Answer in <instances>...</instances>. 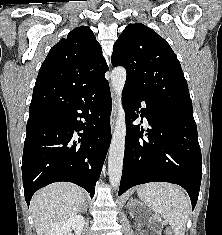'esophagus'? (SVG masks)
I'll use <instances>...</instances> for the list:
<instances>
[{"instance_id":"esophagus-1","label":"esophagus","mask_w":222,"mask_h":235,"mask_svg":"<svg viewBox=\"0 0 222 235\" xmlns=\"http://www.w3.org/2000/svg\"><path fill=\"white\" fill-rule=\"evenodd\" d=\"M113 106H112V112L110 116V126L111 130H114L115 123H116V117H117V106H118V100L115 94L112 96Z\"/></svg>"}]
</instances>
